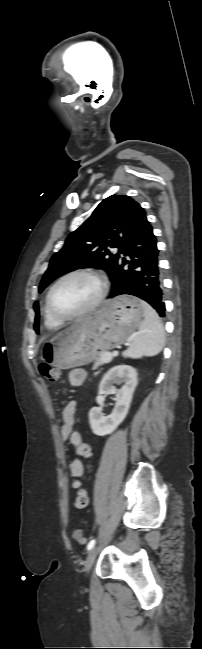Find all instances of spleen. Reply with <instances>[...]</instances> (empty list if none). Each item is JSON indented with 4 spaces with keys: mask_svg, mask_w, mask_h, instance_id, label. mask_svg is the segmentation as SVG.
Instances as JSON below:
<instances>
[{
    "mask_svg": "<svg viewBox=\"0 0 202 649\" xmlns=\"http://www.w3.org/2000/svg\"><path fill=\"white\" fill-rule=\"evenodd\" d=\"M144 320L139 326L136 337L129 348L123 353L124 357L141 358L157 355L164 346V329L156 311L145 301H142Z\"/></svg>",
    "mask_w": 202,
    "mask_h": 649,
    "instance_id": "obj_1",
    "label": "spleen"
}]
</instances>
